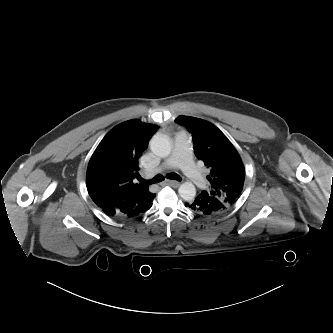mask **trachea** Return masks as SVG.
Instances as JSON below:
<instances>
[{
    "label": "trachea",
    "instance_id": "obj_1",
    "mask_svg": "<svg viewBox=\"0 0 333 333\" xmlns=\"http://www.w3.org/2000/svg\"><path fill=\"white\" fill-rule=\"evenodd\" d=\"M166 178L171 179V180L181 181V177L176 173H169L166 175ZM163 180H164V177L161 174L156 175L154 178H152L151 180H148V181L140 179L142 184H147V185L159 183V182H162Z\"/></svg>",
    "mask_w": 333,
    "mask_h": 333
}]
</instances>
